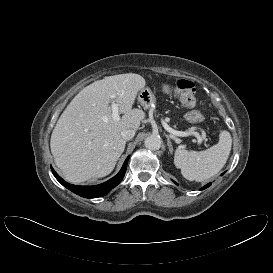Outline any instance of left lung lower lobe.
<instances>
[{
  "label": "left lung lower lobe",
  "instance_id": "1",
  "mask_svg": "<svg viewBox=\"0 0 273 273\" xmlns=\"http://www.w3.org/2000/svg\"><path fill=\"white\" fill-rule=\"evenodd\" d=\"M211 185V183H208L207 185H205L204 187L201 188V190L206 189L207 187H209Z\"/></svg>",
  "mask_w": 273,
  "mask_h": 273
}]
</instances>
